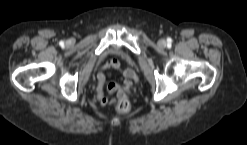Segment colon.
<instances>
[{
	"label": "colon",
	"mask_w": 247,
	"mask_h": 145,
	"mask_svg": "<svg viewBox=\"0 0 247 145\" xmlns=\"http://www.w3.org/2000/svg\"><path fill=\"white\" fill-rule=\"evenodd\" d=\"M116 109L119 112H122V113L129 112V110H130V103H129V101L126 100V99L119 100L118 103L116 104Z\"/></svg>",
	"instance_id": "5ec220e1"
}]
</instances>
